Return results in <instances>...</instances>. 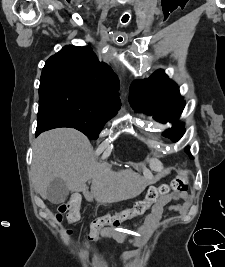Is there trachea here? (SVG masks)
I'll return each instance as SVG.
<instances>
[{"instance_id":"3493384b","label":"trachea","mask_w":225,"mask_h":267,"mask_svg":"<svg viewBox=\"0 0 225 267\" xmlns=\"http://www.w3.org/2000/svg\"><path fill=\"white\" fill-rule=\"evenodd\" d=\"M129 20V15L125 14L123 17H122V22L123 23H127Z\"/></svg>"}]
</instances>
